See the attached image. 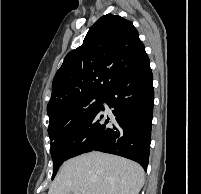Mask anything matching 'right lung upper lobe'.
Segmentation results:
<instances>
[{
	"mask_svg": "<svg viewBox=\"0 0 201 194\" xmlns=\"http://www.w3.org/2000/svg\"><path fill=\"white\" fill-rule=\"evenodd\" d=\"M145 57L144 44L131 21L118 15L102 16L57 71L47 105L49 117L81 99L104 95Z\"/></svg>",
	"mask_w": 201,
	"mask_h": 194,
	"instance_id": "right-lung-upper-lobe-1",
	"label": "right lung upper lobe"
}]
</instances>
